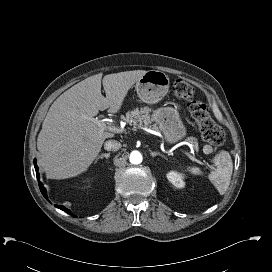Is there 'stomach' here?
Segmentation results:
<instances>
[{"label":"stomach","instance_id":"0dacf381","mask_svg":"<svg viewBox=\"0 0 272 272\" xmlns=\"http://www.w3.org/2000/svg\"><path fill=\"white\" fill-rule=\"evenodd\" d=\"M170 80L166 73L158 70L147 71L137 82L136 92L141 101L156 104L169 89ZM153 121L168 143H175L186 136V128L176 108L164 107L154 111Z\"/></svg>","mask_w":272,"mask_h":272}]
</instances>
